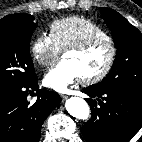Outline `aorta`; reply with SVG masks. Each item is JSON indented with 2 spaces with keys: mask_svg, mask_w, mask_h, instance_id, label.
Here are the masks:
<instances>
[{
  "mask_svg": "<svg viewBox=\"0 0 142 142\" xmlns=\"http://www.w3.org/2000/svg\"><path fill=\"white\" fill-rule=\"evenodd\" d=\"M65 107L68 113L77 119L86 120L90 117V108L87 102L80 97L67 99Z\"/></svg>",
  "mask_w": 142,
  "mask_h": 142,
  "instance_id": "aorta-1",
  "label": "aorta"
}]
</instances>
